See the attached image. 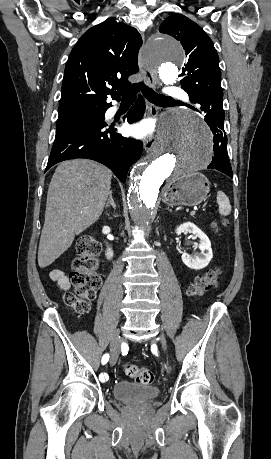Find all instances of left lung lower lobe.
<instances>
[{
	"label": "left lung lower lobe",
	"mask_w": 271,
	"mask_h": 459,
	"mask_svg": "<svg viewBox=\"0 0 271 459\" xmlns=\"http://www.w3.org/2000/svg\"><path fill=\"white\" fill-rule=\"evenodd\" d=\"M205 121L213 132V141L215 143L213 146L214 158L208 168L219 170L233 178L232 169L227 154V136L226 132L224 131V115L211 112L206 113Z\"/></svg>",
	"instance_id": "0a47b994"
}]
</instances>
